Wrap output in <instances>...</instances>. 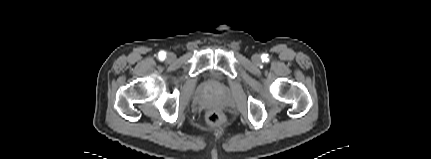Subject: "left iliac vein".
<instances>
[{"mask_svg": "<svg viewBox=\"0 0 431 159\" xmlns=\"http://www.w3.org/2000/svg\"><path fill=\"white\" fill-rule=\"evenodd\" d=\"M252 60H253V62H258L259 61V56L258 55H253L252 56Z\"/></svg>", "mask_w": 431, "mask_h": 159, "instance_id": "obj_1", "label": "left iliac vein"}]
</instances>
